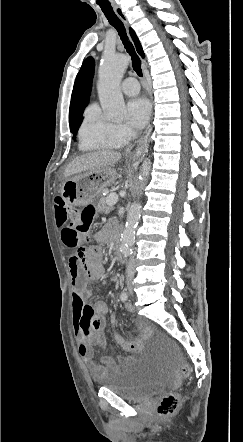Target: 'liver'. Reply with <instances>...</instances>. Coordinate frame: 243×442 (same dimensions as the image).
I'll list each match as a JSON object with an SVG mask.
<instances>
[{"label":"liver","instance_id":"liver-1","mask_svg":"<svg viewBox=\"0 0 243 442\" xmlns=\"http://www.w3.org/2000/svg\"><path fill=\"white\" fill-rule=\"evenodd\" d=\"M121 154L112 150H99L86 153L74 159L65 169L64 176L93 171L95 169L113 166L120 161Z\"/></svg>","mask_w":243,"mask_h":442}]
</instances>
